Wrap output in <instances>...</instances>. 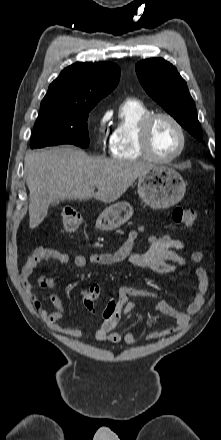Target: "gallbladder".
<instances>
[{
  "label": "gallbladder",
  "mask_w": 221,
  "mask_h": 440,
  "mask_svg": "<svg viewBox=\"0 0 221 440\" xmlns=\"http://www.w3.org/2000/svg\"><path fill=\"white\" fill-rule=\"evenodd\" d=\"M58 203H59V200H55V201H53V202L51 203V205H52V206H56V205H58Z\"/></svg>",
  "instance_id": "1"
}]
</instances>
